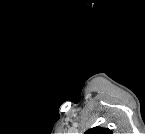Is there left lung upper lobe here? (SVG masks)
I'll use <instances>...</instances> for the list:
<instances>
[{"label": "left lung upper lobe", "mask_w": 145, "mask_h": 134, "mask_svg": "<svg viewBox=\"0 0 145 134\" xmlns=\"http://www.w3.org/2000/svg\"><path fill=\"white\" fill-rule=\"evenodd\" d=\"M85 134H112L108 128L94 127L89 129Z\"/></svg>", "instance_id": "1"}]
</instances>
